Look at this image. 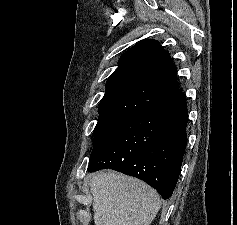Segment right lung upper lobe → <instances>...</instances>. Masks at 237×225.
I'll use <instances>...</instances> for the list:
<instances>
[{
  "label": "right lung upper lobe",
  "instance_id": "obj_1",
  "mask_svg": "<svg viewBox=\"0 0 237 225\" xmlns=\"http://www.w3.org/2000/svg\"><path fill=\"white\" fill-rule=\"evenodd\" d=\"M176 73L169 53L158 41H140L121 56L118 68L107 80L98 120L127 122L180 95Z\"/></svg>",
  "mask_w": 237,
  "mask_h": 225
}]
</instances>
